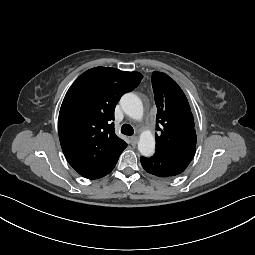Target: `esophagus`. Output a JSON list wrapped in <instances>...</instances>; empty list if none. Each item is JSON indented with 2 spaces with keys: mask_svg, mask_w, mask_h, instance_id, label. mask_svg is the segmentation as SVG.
<instances>
[{
  "mask_svg": "<svg viewBox=\"0 0 255 255\" xmlns=\"http://www.w3.org/2000/svg\"><path fill=\"white\" fill-rule=\"evenodd\" d=\"M130 142L132 145H136L138 142V137L137 136L130 137Z\"/></svg>",
  "mask_w": 255,
  "mask_h": 255,
  "instance_id": "1",
  "label": "esophagus"
}]
</instances>
